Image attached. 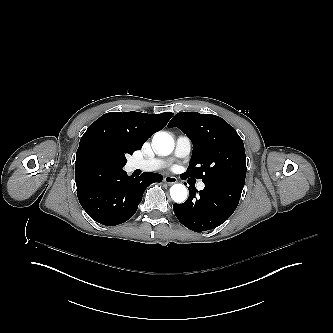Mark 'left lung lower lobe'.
<instances>
[{"instance_id": "left-lung-lower-lobe-1", "label": "left lung lower lobe", "mask_w": 333, "mask_h": 333, "mask_svg": "<svg viewBox=\"0 0 333 333\" xmlns=\"http://www.w3.org/2000/svg\"><path fill=\"white\" fill-rule=\"evenodd\" d=\"M181 178L190 177L182 174ZM243 187L244 184L237 182L214 181L205 183V188L199 191V196L196 197L195 187L191 185L189 198L182 204H174V213L177 219L192 231L213 229L233 214Z\"/></svg>"}]
</instances>
